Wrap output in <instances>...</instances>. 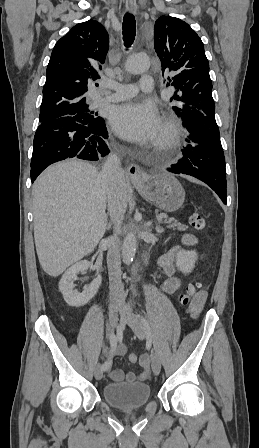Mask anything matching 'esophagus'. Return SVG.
Instances as JSON below:
<instances>
[{"label":"esophagus","instance_id":"1","mask_svg":"<svg viewBox=\"0 0 259 448\" xmlns=\"http://www.w3.org/2000/svg\"><path fill=\"white\" fill-rule=\"evenodd\" d=\"M126 8L129 12L135 14L137 10L136 0H126ZM127 172L132 183L139 184L143 181L144 172L136 163H130Z\"/></svg>","mask_w":259,"mask_h":448}]
</instances>
